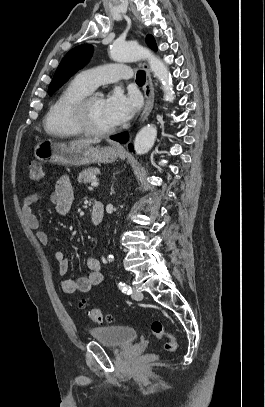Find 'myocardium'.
<instances>
[{"instance_id":"myocardium-1","label":"myocardium","mask_w":265,"mask_h":407,"mask_svg":"<svg viewBox=\"0 0 265 407\" xmlns=\"http://www.w3.org/2000/svg\"><path fill=\"white\" fill-rule=\"evenodd\" d=\"M99 97L96 94H88L77 100L70 108V119L73 125L84 135L91 137H106L114 133L115 128L99 130L92 126L90 121V105Z\"/></svg>"}]
</instances>
